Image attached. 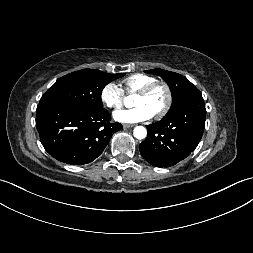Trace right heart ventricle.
Segmentation results:
<instances>
[{
    "mask_svg": "<svg viewBox=\"0 0 253 253\" xmlns=\"http://www.w3.org/2000/svg\"><path fill=\"white\" fill-rule=\"evenodd\" d=\"M156 81L153 76L137 73L132 74L122 80V85L127 93H134Z\"/></svg>",
    "mask_w": 253,
    "mask_h": 253,
    "instance_id": "e07e8e85",
    "label": "right heart ventricle"
}]
</instances>
